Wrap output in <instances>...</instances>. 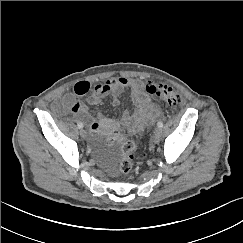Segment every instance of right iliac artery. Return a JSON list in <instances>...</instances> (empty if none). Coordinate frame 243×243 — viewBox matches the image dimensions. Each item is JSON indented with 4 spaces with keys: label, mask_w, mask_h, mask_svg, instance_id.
Masks as SVG:
<instances>
[{
    "label": "right iliac artery",
    "mask_w": 243,
    "mask_h": 243,
    "mask_svg": "<svg viewBox=\"0 0 243 243\" xmlns=\"http://www.w3.org/2000/svg\"><path fill=\"white\" fill-rule=\"evenodd\" d=\"M78 128H83V124L81 122L78 123Z\"/></svg>",
    "instance_id": "obj_1"
}]
</instances>
